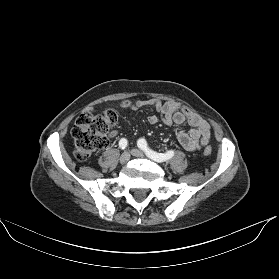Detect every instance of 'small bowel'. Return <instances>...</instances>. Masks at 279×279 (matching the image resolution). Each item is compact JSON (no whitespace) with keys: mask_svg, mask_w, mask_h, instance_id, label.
Masks as SVG:
<instances>
[{"mask_svg":"<svg viewBox=\"0 0 279 279\" xmlns=\"http://www.w3.org/2000/svg\"><path fill=\"white\" fill-rule=\"evenodd\" d=\"M123 108H131L136 110L143 106H153L158 112V115H150L147 120L151 125L156 124L161 120L166 125H176L182 127L188 124L190 129L188 132L179 131L177 139L180 145L188 151H198L202 147H206L210 140L209 124L200 116L193 113L189 109L181 108L179 103L169 101L161 103L156 99L142 100V101H123L120 104Z\"/></svg>","mask_w":279,"mask_h":279,"instance_id":"obj_1","label":"small bowel"}]
</instances>
